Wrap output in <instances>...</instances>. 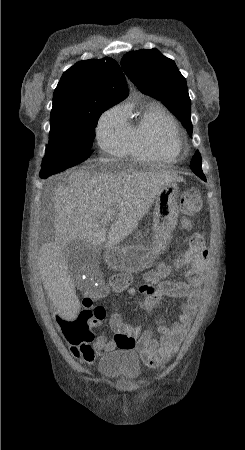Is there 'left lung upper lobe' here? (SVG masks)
Listing matches in <instances>:
<instances>
[{"label": "left lung upper lobe", "mask_w": 245, "mask_h": 450, "mask_svg": "<svg viewBox=\"0 0 245 450\" xmlns=\"http://www.w3.org/2000/svg\"><path fill=\"white\" fill-rule=\"evenodd\" d=\"M121 66L142 93L163 101L192 135L191 101L186 79L173 60L163 56L157 49H143L125 54ZM201 165V155L197 151L190 167L200 178L205 177Z\"/></svg>", "instance_id": "5c2ea615"}]
</instances>
